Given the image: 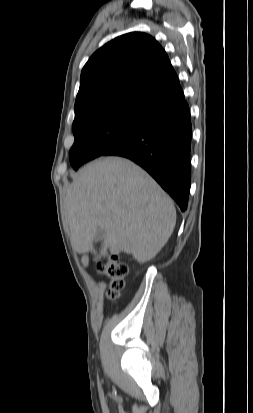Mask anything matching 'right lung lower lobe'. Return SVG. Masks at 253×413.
<instances>
[{"label": "right lung lower lobe", "instance_id": "right-lung-lower-lobe-1", "mask_svg": "<svg viewBox=\"0 0 253 413\" xmlns=\"http://www.w3.org/2000/svg\"><path fill=\"white\" fill-rule=\"evenodd\" d=\"M192 125L186 100L156 109L136 133L103 155L126 157L144 168L182 211L191 185Z\"/></svg>", "mask_w": 253, "mask_h": 413}]
</instances>
